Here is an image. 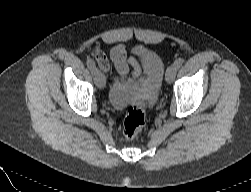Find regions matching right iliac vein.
Returning a JSON list of instances; mask_svg holds the SVG:
<instances>
[{
	"instance_id": "obj_1",
	"label": "right iliac vein",
	"mask_w": 251,
	"mask_h": 192,
	"mask_svg": "<svg viewBox=\"0 0 251 192\" xmlns=\"http://www.w3.org/2000/svg\"><path fill=\"white\" fill-rule=\"evenodd\" d=\"M95 84L99 89H103L106 83L104 75L100 72L99 69H95L93 72Z\"/></svg>"
}]
</instances>
